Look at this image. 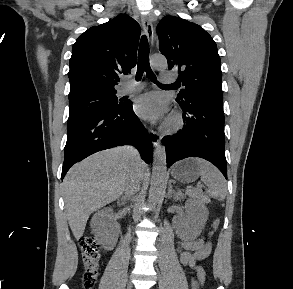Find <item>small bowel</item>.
Listing matches in <instances>:
<instances>
[{
	"label": "small bowel",
	"instance_id": "small-bowel-1",
	"mask_svg": "<svg viewBox=\"0 0 293 289\" xmlns=\"http://www.w3.org/2000/svg\"><path fill=\"white\" fill-rule=\"evenodd\" d=\"M212 233L209 232L207 237L201 236L193 240H179L178 241V255L181 263L194 269H202L197 265L198 261L206 259L211 253L210 237Z\"/></svg>",
	"mask_w": 293,
	"mask_h": 289
}]
</instances>
